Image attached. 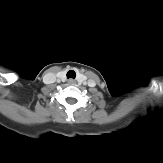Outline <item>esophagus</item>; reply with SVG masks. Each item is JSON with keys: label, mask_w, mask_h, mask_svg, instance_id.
<instances>
[{"label": "esophagus", "mask_w": 163, "mask_h": 163, "mask_svg": "<svg viewBox=\"0 0 163 163\" xmlns=\"http://www.w3.org/2000/svg\"><path fill=\"white\" fill-rule=\"evenodd\" d=\"M68 83L69 84H75V81L71 79V80L68 81Z\"/></svg>", "instance_id": "obj_1"}]
</instances>
